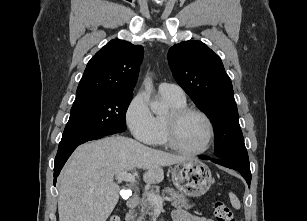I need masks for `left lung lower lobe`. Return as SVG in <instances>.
<instances>
[{
  "label": "left lung lower lobe",
  "mask_w": 307,
  "mask_h": 221,
  "mask_svg": "<svg viewBox=\"0 0 307 221\" xmlns=\"http://www.w3.org/2000/svg\"><path fill=\"white\" fill-rule=\"evenodd\" d=\"M200 159L208 160V158L206 157H200ZM213 162L238 171L245 178L247 184L250 186L251 183L250 165H245L229 159H219Z\"/></svg>",
  "instance_id": "1"
}]
</instances>
